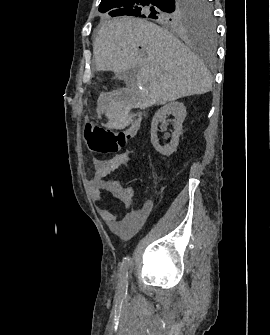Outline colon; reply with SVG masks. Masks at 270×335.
<instances>
[{"mask_svg":"<svg viewBox=\"0 0 270 335\" xmlns=\"http://www.w3.org/2000/svg\"><path fill=\"white\" fill-rule=\"evenodd\" d=\"M134 135L131 127L120 131H110L92 124L87 125L85 132L87 146L90 152L97 156L117 152Z\"/></svg>","mask_w":270,"mask_h":335,"instance_id":"obj_1","label":"colon"}]
</instances>
